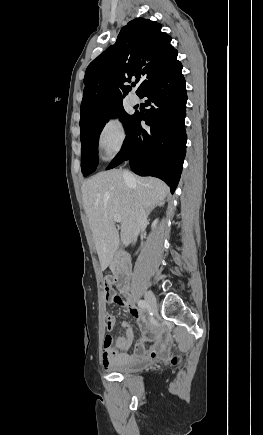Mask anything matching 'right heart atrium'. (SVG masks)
<instances>
[{
	"label": "right heart atrium",
	"instance_id": "d8ad5b80",
	"mask_svg": "<svg viewBox=\"0 0 263 435\" xmlns=\"http://www.w3.org/2000/svg\"><path fill=\"white\" fill-rule=\"evenodd\" d=\"M127 131L123 121L117 117L108 118L99 130L97 147L104 160H112L123 149Z\"/></svg>",
	"mask_w": 263,
	"mask_h": 435
}]
</instances>
